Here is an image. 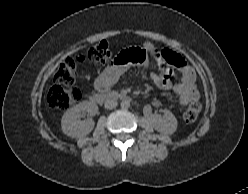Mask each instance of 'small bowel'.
<instances>
[{
  "label": "small bowel",
  "instance_id": "c3829d8e",
  "mask_svg": "<svg viewBox=\"0 0 248 194\" xmlns=\"http://www.w3.org/2000/svg\"><path fill=\"white\" fill-rule=\"evenodd\" d=\"M158 49L152 43L142 45V54L133 63L141 66H148V56L154 57ZM123 54H120L110 64L100 76L95 80V88L99 92L107 91L124 73L129 63L123 61ZM162 63L157 64L158 70L151 72L150 78L153 83L161 90H173L178 96L181 106H186L199 99V92L195 85V74L187 62L176 52L171 51L168 58H162ZM130 62V61H129ZM173 68L179 71L180 79L177 83L171 81ZM158 106L157 101L154 102Z\"/></svg>",
  "mask_w": 248,
  "mask_h": 194
}]
</instances>
